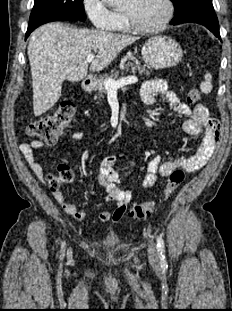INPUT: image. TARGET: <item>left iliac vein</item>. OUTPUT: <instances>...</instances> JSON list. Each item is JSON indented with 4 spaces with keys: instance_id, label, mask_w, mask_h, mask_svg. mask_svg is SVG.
<instances>
[{
    "instance_id": "left-iliac-vein-1",
    "label": "left iliac vein",
    "mask_w": 232,
    "mask_h": 311,
    "mask_svg": "<svg viewBox=\"0 0 232 311\" xmlns=\"http://www.w3.org/2000/svg\"><path fill=\"white\" fill-rule=\"evenodd\" d=\"M148 257L151 263H158L159 253L155 243H151L148 247Z\"/></svg>"
}]
</instances>
